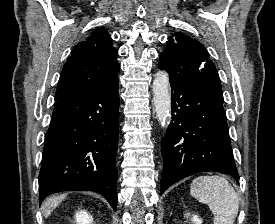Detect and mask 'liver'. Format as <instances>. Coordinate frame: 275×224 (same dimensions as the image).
I'll use <instances>...</instances> for the list:
<instances>
[{
  "instance_id": "1",
  "label": "liver",
  "mask_w": 275,
  "mask_h": 224,
  "mask_svg": "<svg viewBox=\"0 0 275 224\" xmlns=\"http://www.w3.org/2000/svg\"><path fill=\"white\" fill-rule=\"evenodd\" d=\"M66 194L58 195V196H52L47 198L42 205L43 209V215L45 218L49 217L51 212L62 202V200L65 198Z\"/></svg>"
}]
</instances>
